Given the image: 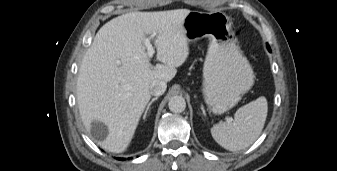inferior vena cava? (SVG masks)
<instances>
[{
    "instance_id": "602c4592",
    "label": "inferior vena cava",
    "mask_w": 337,
    "mask_h": 171,
    "mask_svg": "<svg viewBox=\"0 0 337 171\" xmlns=\"http://www.w3.org/2000/svg\"><path fill=\"white\" fill-rule=\"evenodd\" d=\"M167 85L164 81L155 80L150 84V93L154 96H160L166 91Z\"/></svg>"
}]
</instances>
